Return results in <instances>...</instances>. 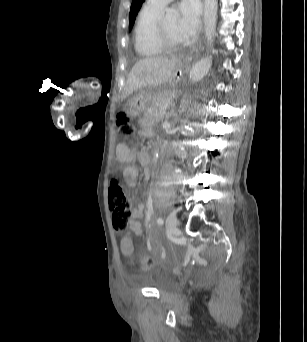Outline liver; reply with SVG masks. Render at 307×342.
Returning a JSON list of instances; mask_svg holds the SVG:
<instances>
[{
	"label": "liver",
	"mask_w": 307,
	"mask_h": 342,
	"mask_svg": "<svg viewBox=\"0 0 307 342\" xmlns=\"http://www.w3.org/2000/svg\"><path fill=\"white\" fill-rule=\"evenodd\" d=\"M176 56H152V58H143L134 64L126 80L124 92L121 98L125 100L135 90L140 88H157L166 84L175 70Z\"/></svg>",
	"instance_id": "liver-1"
}]
</instances>
